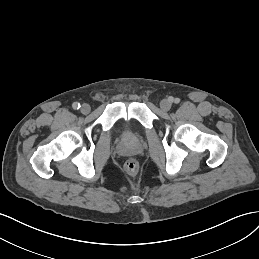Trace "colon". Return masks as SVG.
<instances>
[{
  "instance_id": "1",
  "label": "colon",
  "mask_w": 259,
  "mask_h": 259,
  "mask_svg": "<svg viewBox=\"0 0 259 259\" xmlns=\"http://www.w3.org/2000/svg\"><path fill=\"white\" fill-rule=\"evenodd\" d=\"M139 169V164L137 160L135 159H128L125 162V170L127 171L128 174L130 175H136Z\"/></svg>"
}]
</instances>
